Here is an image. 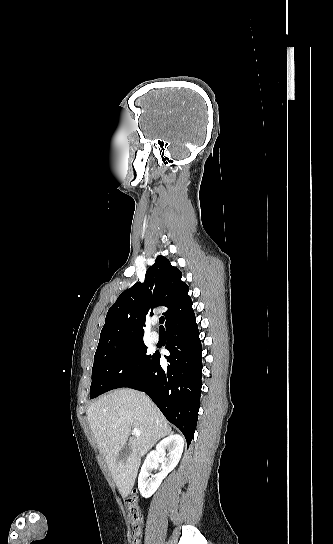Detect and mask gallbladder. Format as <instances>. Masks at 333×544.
I'll return each mask as SVG.
<instances>
[{"label": "gallbladder", "mask_w": 333, "mask_h": 544, "mask_svg": "<svg viewBox=\"0 0 333 544\" xmlns=\"http://www.w3.org/2000/svg\"><path fill=\"white\" fill-rule=\"evenodd\" d=\"M132 452L131 446L129 443H125L123 447L121 448L117 460H124L126 459Z\"/></svg>", "instance_id": "1"}]
</instances>
